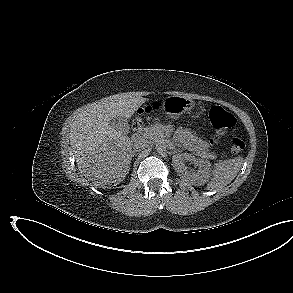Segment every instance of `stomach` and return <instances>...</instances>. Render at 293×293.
I'll use <instances>...</instances> for the list:
<instances>
[{
  "instance_id": "obj_1",
  "label": "stomach",
  "mask_w": 293,
  "mask_h": 293,
  "mask_svg": "<svg viewBox=\"0 0 293 293\" xmlns=\"http://www.w3.org/2000/svg\"><path fill=\"white\" fill-rule=\"evenodd\" d=\"M192 106L193 101L184 96H169L163 103L162 111L167 117L177 119Z\"/></svg>"
}]
</instances>
